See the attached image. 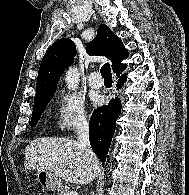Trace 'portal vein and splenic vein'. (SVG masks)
Listing matches in <instances>:
<instances>
[{"label":"portal vein and splenic vein","mask_w":189,"mask_h":195,"mask_svg":"<svg viewBox=\"0 0 189 195\" xmlns=\"http://www.w3.org/2000/svg\"><path fill=\"white\" fill-rule=\"evenodd\" d=\"M67 195H78L77 192H69Z\"/></svg>","instance_id":"18ae733b"}]
</instances>
